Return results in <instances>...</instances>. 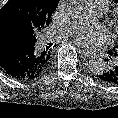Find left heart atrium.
Returning a JSON list of instances; mask_svg holds the SVG:
<instances>
[{"label": "left heart atrium", "instance_id": "1", "mask_svg": "<svg viewBox=\"0 0 118 118\" xmlns=\"http://www.w3.org/2000/svg\"><path fill=\"white\" fill-rule=\"evenodd\" d=\"M72 38L85 47L105 44L108 41L107 30L103 27H81L71 34Z\"/></svg>", "mask_w": 118, "mask_h": 118}]
</instances>
